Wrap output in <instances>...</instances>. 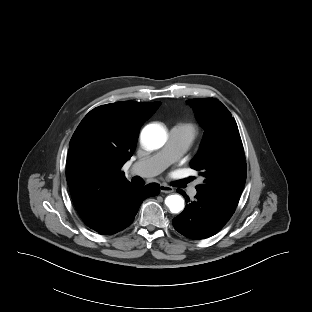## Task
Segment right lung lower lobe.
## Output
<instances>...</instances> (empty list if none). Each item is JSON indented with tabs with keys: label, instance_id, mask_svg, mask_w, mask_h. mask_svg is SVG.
I'll list each match as a JSON object with an SVG mask.
<instances>
[{
	"label": "right lung lower lobe",
	"instance_id": "right-lung-lower-lobe-1",
	"mask_svg": "<svg viewBox=\"0 0 312 312\" xmlns=\"http://www.w3.org/2000/svg\"><path fill=\"white\" fill-rule=\"evenodd\" d=\"M160 192L158 184L147 186L130 184L117 196L111 206L95 221L87 226L99 234H115L128 227L134 220L142 201Z\"/></svg>",
	"mask_w": 312,
	"mask_h": 312
}]
</instances>
